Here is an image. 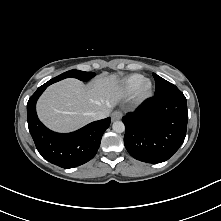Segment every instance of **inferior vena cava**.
<instances>
[{"instance_id": "obj_1", "label": "inferior vena cava", "mask_w": 221, "mask_h": 221, "mask_svg": "<svg viewBox=\"0 0 221 221\" xmlns=\"http://www.w3.org/2000/svg\"><path fill=\"white\" fill-rule=\"evenodd\" d=\"M110 113V109L106 110H98L95 112H92L90 116L92 117L93 120H100L106 118Z\"/></svg>"}]
</instances>
